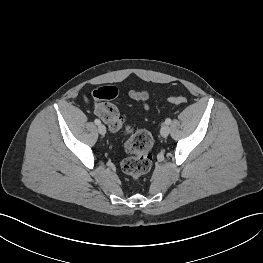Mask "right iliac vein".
<instances>
[{
	"label": "right iliac vein",
	"mask_w": 263,
	"mask_h": 263,
	"mask_svg": "<svg viewBox=\"0 0 263 263\" xmlns=\"http://www.w3.org/2000/svg\"><path fill=\"white\" fill-rule=\"evenodd\" d=\"M98 132H99L101 135H105V134H106V127H105L103 124H99V125H98Z\"/></svg>",
	"instance_id": "1"
}]
</instances>
